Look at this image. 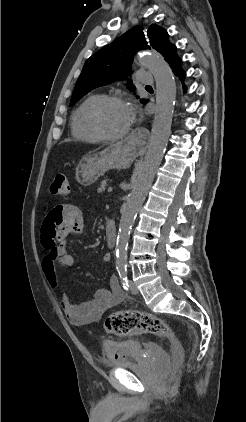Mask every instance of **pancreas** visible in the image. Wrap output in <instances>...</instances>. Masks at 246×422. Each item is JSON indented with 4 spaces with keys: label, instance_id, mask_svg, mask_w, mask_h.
<instances>
[{
    "label": "pancreas",
    "instance_id": "pancreas-1",
    "mask_svg": "<svg viewBox=\"0 0 246 422\" xmlns=\"http://www.w3.org/2000/svg\"><path fill=\"white\" fill-rule=\"evenodd\" d=\"M107 181H108V179H104V180L101 182L100 187L97 189V192H98V193H102V192H104V191H105V189H106V185H107Z\"/></svg>",
    "mask_w": 246,
    "mask_h": 422
}]
</instances>
